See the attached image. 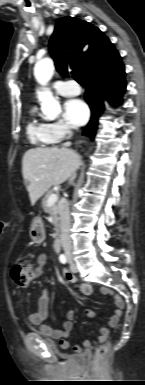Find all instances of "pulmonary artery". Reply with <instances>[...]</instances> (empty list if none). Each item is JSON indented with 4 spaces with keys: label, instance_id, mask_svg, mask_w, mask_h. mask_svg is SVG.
<instances>
[{
    "label": "pulmonary artery",
    "instance_id": "1",
    "mask_svg": "<svg viewBox=\"0 0 145 385\" xmlns=\"http://www.w3.org/2000/svg\"><path fill=\"white\" fill-rule=\"evenodd\" d=\"M55 91L63 96H75L80 94L81 89L74 80L56 81L53 84Z\"/></svg>",
    "mask_w": 145,
    "mask_h": 385
}]
</instances>
